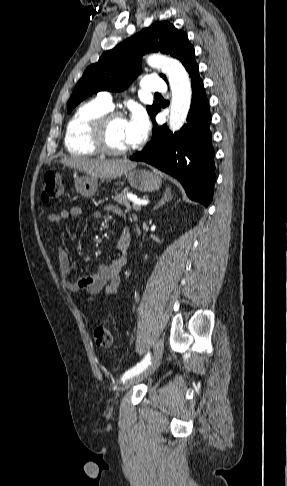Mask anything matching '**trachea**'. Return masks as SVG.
<instances>
[{"label":"trachea","mask_w":287,"mask_h":486,"mask_svg":"<svg viewBox=\"0 0 287 486\" xmlns=\"http://www.w3.org/2000/svg\"><path fill=\"white\" fill-rule=\"evenodd\" d=\"M155 96H161V94L156 93Z\"/></svg>","instance_id":"trachea-1"}]
</instances>
